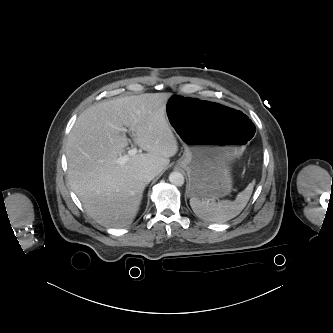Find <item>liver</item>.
Wrapping results in <instances>:
<instances>
[{"label":"liver","instance_id":"obj_1","mask_svg":"<svg viewBox=\"0 0 333 333\" xmlns=\"http://www.w3.org/2000/svg\"><path fill=\"white\" fill-rule=\"evenodd\" d=\"M171 93H146L99 102L76 120L66 143L68 177L89 215L98 223L124 227L136 217L146 183L138 179L142 168L162 172L178 151L166 118ZM148 153L116 159L129 139Z\"/></svg>","mask_w":333,"mask_h":333}]
</instances>
